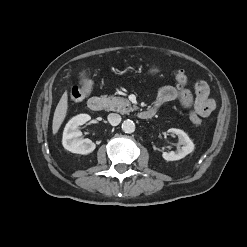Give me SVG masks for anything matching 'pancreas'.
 <instances>
[{
    "label": "pancreas",
    "mask_w": 247,
    "mask_h": 247,
    "mask_svg": "<svg viewBox=\"0 0 247 247\" xmlns=\"http://www.w3.org/2000/svg\"><path fill=\"white\" fill-rule=\"evenodd\" d=\"M108 110L116 111L121 114H127L137 109L136 106H131V102L122 97H108Z\"/></svg>",
    "instance_id": "cf45deb5"
}]
</instances>
